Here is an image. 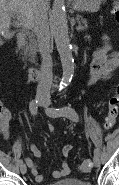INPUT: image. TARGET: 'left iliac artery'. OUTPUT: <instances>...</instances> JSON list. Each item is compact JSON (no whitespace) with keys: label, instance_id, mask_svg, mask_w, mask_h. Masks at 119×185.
Here are the masks:
<instances>
[{"label":"left iliac artery","instance_id":"44dca946","mask_svg":"<svg viewBox=\"0 0 119 185\" xmlns=\"http://www.w3.org/2000/svg\"><path fill=\"white\" fill-rule=\"evenodd\" d=\"M49 112L52 115V117L65 116L75 122H78L79 120L78 114L71 107H63V108H56V109L51 108L49 109ZM94 155H99V151L97 149H94Z\"/></svg>","mask_w":119,"mask_h":185}]
</instances>
